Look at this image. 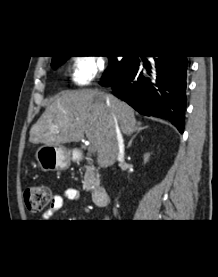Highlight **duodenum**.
Wrapping results in <instances>:
<instances>
[{
    "label": "duodenum",
    "instance_id": "obj_1",
    "mask_svg": "<svg viewBox=\"0 0 218 277\" xmlns=\"http://www.w3.org/2000/svg\"><path fill=\"white\" fill-rule=\"evenodd\" d=\"M71 158L75 160H82L83 157L77 152H72ZM92 199L95 205L105 207L109 202L108 191L102 186H96L92 190Z\"/></svg>",
    "mask_w": 218,
    "mask_h": 277
}]
</instances>
